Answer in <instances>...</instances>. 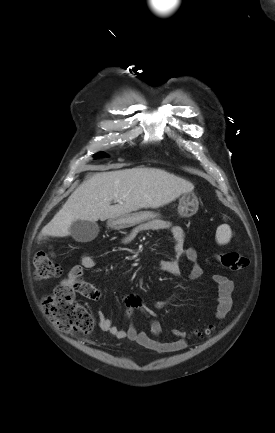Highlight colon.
Wrapping results in <instances>:
<instances>
[{
  "label": "colon",
  "mask_w": 275,
  "mask_h": 433,
  "mask_svg": "<svg viewBox=\"0 0 275 433\" xmlns=\"http://www.w3.org/2000/svg\"><path fill=\"white\" fill-rule=\"evenodd\" d=\"M220 263L227 269L239 271L248 266V259L236 251L218 255ZM34 275L37 279L46 280L61 274L60 265L51 253L38 252L34 256ZM45 315L56 328L65 333L88 334L94 327V320L87 309L75 298L68 286H59L43 300ZM215 330L214 325H207L197 331L198 336H209Z\"/></svg>",
  "instance_id": "5ec220e1"
}]
</instances>
